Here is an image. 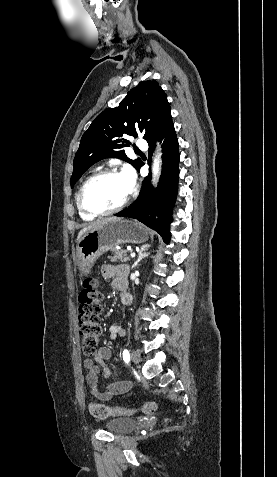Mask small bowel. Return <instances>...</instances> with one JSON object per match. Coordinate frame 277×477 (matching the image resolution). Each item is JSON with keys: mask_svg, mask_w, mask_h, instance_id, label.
Returning <instances> with one entry per match:
<instances>
[{"mask_svg": "<svg viewBox=\"0 0 277 477\" xmlns=\"http://www.w3.org/2000/svg\"><path fill=\"white\" fill-rule=\"evenodd\" d=\"M129 268L127 265H113L103 264L101 267V274L105 279H112V285L115 289L120 291V296L127 294L125 292L127 288V276ZM125 330L119 325H113L110 328V338L116 340L118 337L124 336ZM112 356L111 349L109 347H100L91 358H86L83 362L85 369L87 370L86 381L90 393L97 399L109 400L116 395L126 393L131 388V383L127 380H121L117 377V374L108 368L103 366L102 370L99 364H103L109 360ZM102 373L104 378L113 377V381L109 383L104 390L99 386V375Z\"/></svg>", "mask_w": 277, "mask_h": 477, "instance_id": "c3829d8e", "label": "small bowel"}]
</instances>
